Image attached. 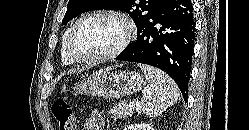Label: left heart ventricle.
Masks as SVG:
<instances>
[{"label":"left heart ventricle","instance_id":"obj_1","mask_svg":"<svg viewBox=\"0 0 249 130\" xmlns=\"http://www.w3.org/2000/svg\"><path fill=\"white\" fill-rule=\"evenodd\" d=\"M124 24L114 18L93 17L82 22L72 40V51L79 57H92L113 50L123 39Z\"/></svg>","mask_w":249,"mask_h":130}]
</instances>
